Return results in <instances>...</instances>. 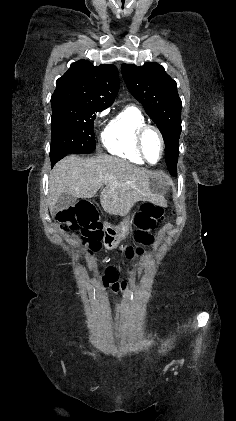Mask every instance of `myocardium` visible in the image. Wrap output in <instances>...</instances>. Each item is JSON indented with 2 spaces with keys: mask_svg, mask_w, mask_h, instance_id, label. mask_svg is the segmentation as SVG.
<instances>
[{
  "mask_svg": "<svg viewBox=\"0 0 236 421\" xmlns=\"http://www.w3.org/2000/svg\"><path fill=\"white\" fill-rule=\"evenodd\" d=\"M150 131L154 132L160 139V142H161V145H162V154H161V158H160L159 162H161L163 160L164 154H165V151H166V141H165V138H164L162 132L157 127H155L153 125H148V124H145L142 127H140L139 130L136 133V146H137V149H138L140 155L142 156L143 160L147 164L156 165L157 163L152 164V163L149 162V160L147 158V155H146V152H145V148H144L145 135Z\"/></svg>",
  "mask_w": 236,
  "mask_h": 421,
  "instance_id": "myocardium-1",
  "label": "myocardium"
}]
</instances>
